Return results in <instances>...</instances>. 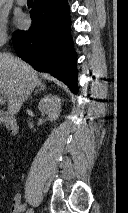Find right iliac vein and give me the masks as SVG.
<instances>
[{"instance_id": "63e3f726", "label": "right iliac vein", "mask_w": 128, "mask_h": 213, "mask_svg": "<svg viewBox=\"0 0 128 213\" xmlns=\"http://www.w3.org/2000/svg\"><path fill=\"white\" fill-rule=\"evenodd\" d=\"M27 213H34V212H33V209H29V210L27 211Z\"/></svg>"}]
</instances>
